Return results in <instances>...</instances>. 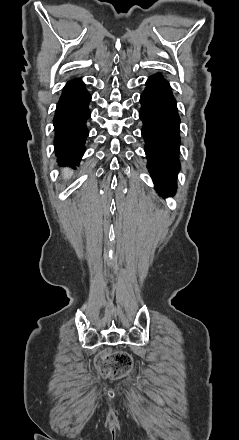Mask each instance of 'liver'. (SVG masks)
<instances>
[{
    "label": "liver",
    "mask_w": 239,
    "mask_h": 440,
    "mask_svg": "<svg viewBox=\"0 0 239 440\" xmlns=\"http://www.w3.org/2000/svg\"><path fill=\"white\" fill-rule=\"evenodd\" d=\"M71 176H73L72 170H69V168L63 170V180H68V178H71Z\"/></svg>",
    "instance_id": "6515ba94"
}]
</instances>
